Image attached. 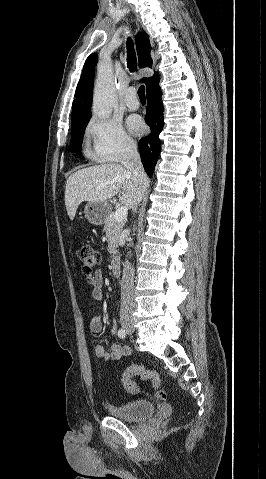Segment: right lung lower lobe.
Wrapping results in <instances>:
<instances>
[{
  "label": "right lung lower lobe",
  "mask_w": 266,
  "mask_h": 479,
  "mask_svg": "<svg viewBox=\"0 0 266 479\" xmlns=\"http://www.w3.org/2000/svg\"><path fill=\"white\" fill-rule=\"evenodd\" d=\"M146 92L147 114L145 120L151 128V133L146 138L140 140L139 148L144 169L148 176L151 177L160 154L161 143L159 134L163 129L164 118L159 82L146 89Z\"/></svg>",
  "instance_id": "obj_1"
}]
</instances>
